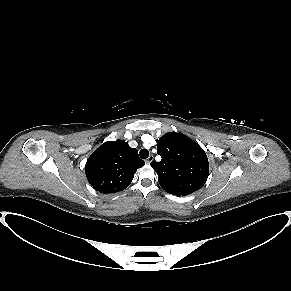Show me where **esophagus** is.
Here are the masks:
<instances>
[{"label":"esophagus","instance_id":"34e87169","mask_svg":"<svg viewBox=\"0 0 291 291\" xmlns=\"http://www.w3.org/2000/svg\"><path fill=\"white\" fill-rule=\"evenodd\" d=\"M153 159H154L153 155H150V156L145 160L146 164H150V163L153 161Z\"/></svg>","mask_w":291,"mask_h":291}]
</instances>
